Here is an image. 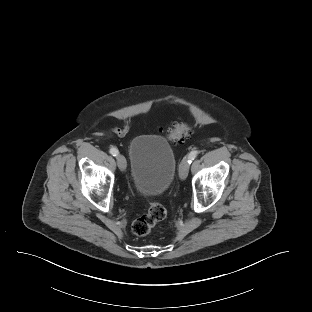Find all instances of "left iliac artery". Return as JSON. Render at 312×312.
Masks as SVG:
<instances>
[{
  "mask_svg": "<svg viewBox=\"0 0 312 312\" xmlns=\"http://www.w3.org/2000/svg\"><path fill=\"white\" fill-rule=\"evenodd\" d=\"M198 155V151L193 150L188 155V163L190 164Z\"/></svg>",
  "mask_w": 312,
  "mask_h": 312,
  "instance_id": "left-iliac-artery-1",
  "label": "left iliac artery"
}]
</instances>
